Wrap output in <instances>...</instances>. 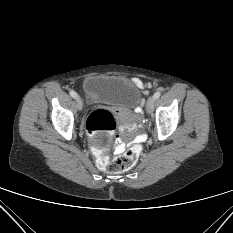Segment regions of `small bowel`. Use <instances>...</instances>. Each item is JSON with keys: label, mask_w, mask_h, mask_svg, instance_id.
Listing matches in <instances>:
<instances>
[{"label": "small bowel", "mask_w": 233, "mask_h": 233, "mask_svg": "<svg viewBox=\"0 0 233 233\" xmlns=\"http://www.w3.org/2000/svg\"><path fill=\"white\" fill-rule=\"evenodd\" d=\"M133 81L141 89H146V88L149 87L148 84L142 82L138 78H134ZM125 148H126V144L124 143V141H122L121 139H118L116 147H115V152L118 153V154L122 153L125 150Z\"/></svg>", "instance_id": "obj_1"}]
</instances>
